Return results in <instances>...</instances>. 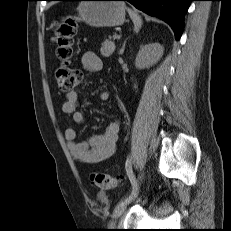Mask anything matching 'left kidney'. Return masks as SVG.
<instances>
[{"label":"left kidney","instance_id":"1","mask_svg":"<svg viewBox=\"0 0 231 231\" xmlns=\"http://www.w3.org/2000/svg\"><path fill=\"white\" fill-rule=\"evenodd\" d=\"M164 48L159 43H149L139 50L135 66L138 69H144L156 64L163 55Z\"/></svg>","mask_w":231,"mask_h":231}]
</instances>
